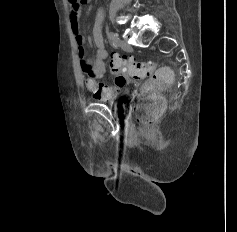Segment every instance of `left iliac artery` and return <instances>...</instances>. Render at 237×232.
Returning a JSON list of instances; mask_svg holds the SVG:
<instances>
[{"label":"left iliac artery","mask_w":237,"mask_h":232,"mask_svg":"<svg viewBox=\"0 0 237 232\" xmlns=\"http://www.w3.org/2000/svg\"><path fill=\"white\" fill-rule=\"evenodd\" d=\"M107 35H108V38L111 39V40H114V41L118 40L117 35L113 32H109Z\"/></svg>","instance_id":"1"}]
</instances>
